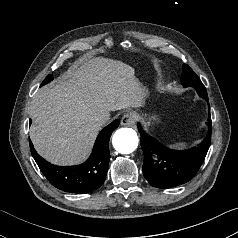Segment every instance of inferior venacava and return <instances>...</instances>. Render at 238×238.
<instances>
[{
	"label": "inferior vena cava",
	"instance_id": "1",
	"mask_svg": "<svg viewBox=\"0 0 238 238\" xmlns=\"http://www.w3.org/2000/svg\"><path fill=\"white\" fill-rule=\"evenodd\" d=\"M109 119V116H99L96 121L99 125H102L106 123Z\"/></svg>",
	"mask_w": 238,
	"mask_h": 238
}]
</instances>
